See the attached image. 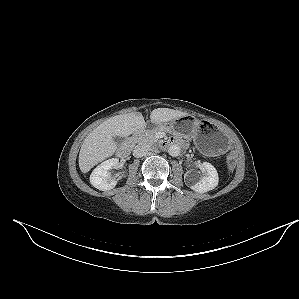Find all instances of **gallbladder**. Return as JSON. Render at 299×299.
Masks as SVG:
<instances>
[{
  "instance_id": "1",
  "label": "gallbladder",
  "mask_w": 299,
  "mask_h": 299,
  "mask_svg": "<svg viewBox=\"0 0 299 299\" xmlns=\"http://www.w3.org/2000/svg\"><path fill=\"white\" fill-rule=\"evenodd\" d=\"M113 139H114L115 143L118 145H120L124 141V138L121 136H114Z\"/></svg>"
}]
</instances>
